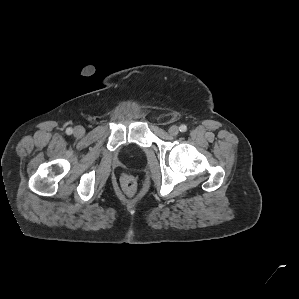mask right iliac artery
<instances>
[{
	"mask_svg": "<svg viewBox=\"0 0 299 299\" xmlns=\"http://www.w3.org/2000/svg\"><path fill=\"white\" fill-rule=\"evenodd\" d=\"M66 133H67L68 135L72 134V133H73V129H72V128H67V129H66Z\"/></svg>",
	"mask_w": 299,
	"mask_h": 299,
	"instance_id": "82829eb1",
	"label": "right iliac artery"
}]
</instances>
